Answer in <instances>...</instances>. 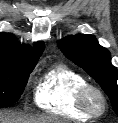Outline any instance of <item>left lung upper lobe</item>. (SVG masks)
<instances>
[{"label":"left lung upper lobe","mask_w":118,"mask_h":123,"mask_svg":"<svg viewBox=\"0 0 118 123\" xmlns=\"http://www.w3.org/2000/svg\"><path fill=\"white\" fill-rule=\"evenodd\" d=\"M59 49L100 84L118 114V70L111 64L110 52L93 35H71L57 42Z\"/></svg>","instance_id":"obj_1"}]
</instances>
